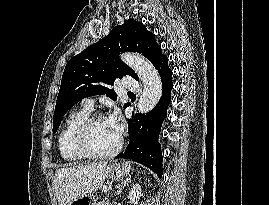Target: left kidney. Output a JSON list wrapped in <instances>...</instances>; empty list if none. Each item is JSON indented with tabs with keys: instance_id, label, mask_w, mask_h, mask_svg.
I'll return each mask as SVG.
<instances>
[{
	"instance_id": "left-kidney-1",
	"label": "left kidney",
	"mask_w": 269,
	"mask_h": 205,
	"mask_svg": "<svg viewBox=\"0 0 269 205\" xmlns=\"http://www.w3.org/2000/svg\"><path fill=\"white\" fill-rule=\"evenodd\" d=\"M140 197H141V186L139 184H135L129 193V199L132 204L136 205Z\"/></svg>"
}]
</instances>
